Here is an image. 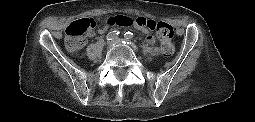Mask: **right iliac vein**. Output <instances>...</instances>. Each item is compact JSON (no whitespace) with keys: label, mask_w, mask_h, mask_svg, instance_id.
<instances>
[{"label":"right iliac vein","mask_w":255,"mask_h":122,"mask_svg":"<svg viewBox=\"0 0 255 122\" xmlns=\"http://www.w3.org/2000/svg\"><path fill=\"white\" fill-rule=\"evenodd\" d=\"M110 44H111V42L109 41V42H108V45H110Z\"/></svg>","instance_id":"obj_1"}]
</instances>
